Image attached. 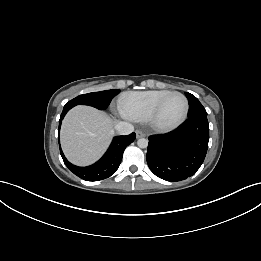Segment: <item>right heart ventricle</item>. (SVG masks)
<instances>
[{
	"label": "right heart ventricle",
	"instance_id": "e07e8e85",
	"mask_svg": "<svg viewBox=\"0 0 261 261\" xmlns=\"http://www.w3.org/2000/svg\"><path fill=\"white\" fill-rule=\"evenodd\" d=\"M168 92L167 89L127 92L119 100V110L130 120L144 121L154 104Z\"/></svg>",
	"mask_w": 261,
	"mask_h": 261
}]
</instances>
